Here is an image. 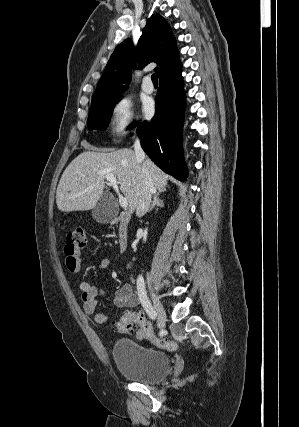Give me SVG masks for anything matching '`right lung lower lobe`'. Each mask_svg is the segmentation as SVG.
<instances>
[{"instance_id": "right-lung-lower-lobe-1", "label": "right lung lower lobe", "mask_w": 299, "mask_h": 427, "mask_svg": "<svg viewBox=\"0 0 299 427\" xmlns=\"http://www.w3.org/2000/svg\"><path fill=\"white\" fill-rule=\"evenodd\" d=\"M184 109L185 93L179 70L160 79L155 115L137 128L142 148L150 159L179 180L187 177L182 153Z\"/></svg>"}]
</instances>
